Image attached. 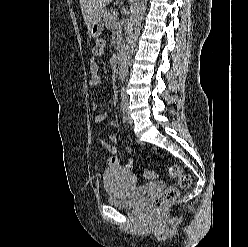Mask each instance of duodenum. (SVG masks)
<instances>
[{
  "mask_svg": "<svg viewBox=\"0 0 248 247\" xmlns=\"http://www.w3.org/2000/svg\"><path fill=\"white\" fill-rule=\"evenodd\" d=\"M125 60V51L120 50L116 55V64L118 67H121L123 65V62Z\"/></svg>",
  "mask_w": 248,
  "mask_h": 247,
  "instance_id": "duodenum-1",
  "label": "duodenum"
}]
</instances>
